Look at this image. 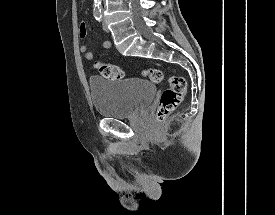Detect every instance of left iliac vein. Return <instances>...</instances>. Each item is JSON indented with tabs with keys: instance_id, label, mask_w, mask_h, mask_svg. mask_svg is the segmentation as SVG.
Listing matches in <instances>:
<instances>
[{
	"instance_id": "1",
	"label": "left iliac vein",
	"mask_w": 275,
	"mask_h": 215,
	"mask_svg": "<svg viewBox=\"0 0 275 215\" xmlns=\"http://www.w3.org/2000/svg\"><path fill=\"white\" fill-rule=\"evenodd\" d=\"M102 27H103V30H104V31H106V32L109 31V29H108V27H107V25H106V22H105V19H104V18L102 19Z\"/></svg>"
}]
</instances>
